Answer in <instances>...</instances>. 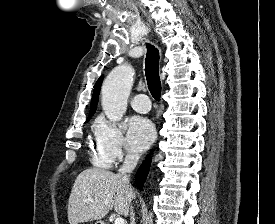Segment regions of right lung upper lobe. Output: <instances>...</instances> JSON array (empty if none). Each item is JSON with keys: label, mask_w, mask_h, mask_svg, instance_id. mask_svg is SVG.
I'll use <instances>...</instances> for the list:
<instances>
[{"label": "right lung upper lobe", "mask_w": 275, "mask_h": 224, "mask_svg": "<svg viewBox=\"0 0 275 224\" xmlns=\"http://www.w3.org/2000/svg\"><path fill=\"white\" fill-rule=\"evenodd\" d=\"M102 80H103V77H100L98 79V81L96 82L95 86H94L89 117H91L94 114L95 110H96Z\"/></svg>", "instance_id": "right-lung-upper-lobe-1"}]
</instances>
